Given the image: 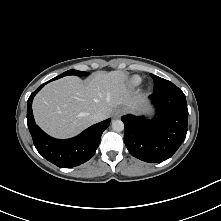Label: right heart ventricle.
<instances>
[{
	"label": "right heart ventricle",
	"instance_id": "obj_1",
	"mask_svg": "<svg viewBox=\"0 0 221 221\" xmlns=\"http://www.w3.org/2000/svg\"><path fill=\"white\" fill-rule=\"evenodd\" d=\"M141 83V78L138 76H135L132 78V85L137 86Z\"/></svg>",
	"mask_w": 221,
	"mask_h": 221
}]
</instances>
